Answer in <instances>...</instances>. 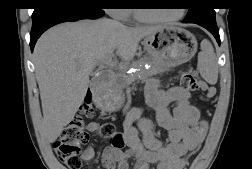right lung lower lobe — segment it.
<instances>
[{
	"label": "right lung lower lobe",
	"mask_w": 252,
	"mask_h": 169,
	"mask_svg": "<svg viewBox=\"0 0 252 169\" xmlns=\"http://www.w3.org/2000/svg\"><path fill=\"white\" fill-rule=\"evenodd\" d=\"M104 11L76 2V0H48L47 4L34 10L30 48L33 51L38 38L50 27L68 21L98 19Z\"/></svg>",
	"instance_id": "1"
}]
</instances>
